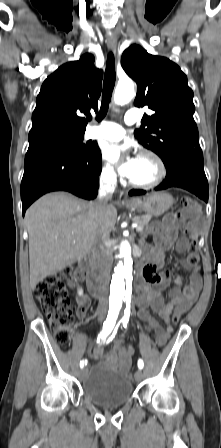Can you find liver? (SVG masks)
Listing matches in <instances>:
<instances>
[{
	"label": "liver",
	"instance_id": "1",
	"mask_svg": "<svg viewBox=\"0 0 221 448\" xmlns=\"http://www.w3.org/2000/svg\"><path fill=\"white\" fill-rule=\"evenodd\" d=\"M94 203L55 192L42 196L26 211L31 289L81 260L97 245L101 234L114 229L115 206L107 204L101 213Z\"/></svg>",
	"mask_w": 221,
	"mask_h": 448
}]
</instances>
